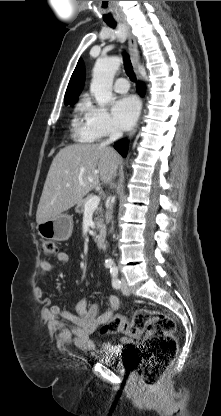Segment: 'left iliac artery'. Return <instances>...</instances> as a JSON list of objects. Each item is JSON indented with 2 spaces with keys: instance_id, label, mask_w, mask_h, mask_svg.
I'll return each mask as SVG.
<instances>
[{
  "instance_id": "obj_1",
  "label": "left iliac artery",
  "mask_w": 221,
  "mask_h": 416,
  "mask_svg": "<svg viewBox=\"0 0 221 416\" xmlns=\"http://www.w3.org/2000/svg\"><path fill=\"white\" fill-rule=\"evenodd\" d=\"M110 273L112 276V286L115 289H119L121 287V281L118 279V268L116 266L111 267Z\"/></svg>"
}]
</instances>
